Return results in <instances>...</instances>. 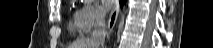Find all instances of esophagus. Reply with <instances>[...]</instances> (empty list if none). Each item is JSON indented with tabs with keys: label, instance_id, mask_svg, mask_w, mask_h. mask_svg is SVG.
I'll use <instances>...</instances> for the list:
<instances>
[{
	"label": "esophagus",
	"instance_id": "esophagus-1",
	"mask_svg": "<svg viewBox=\"0 0 213 48\" xmlns=\"http://www.w3.org/2000/svg\"><path fill=\"white\" fill-rule=\"evenodd\" d=\"M118 14H119V2L117 1L116 4L114 5L113 10L111 11L110 17L108 19L107 23V37L110 36V34L113 31V28L117 22L118 19Z\"/></svg>",
	"mask_w": 213,
	"mask_h": 48
}]
</instances>
